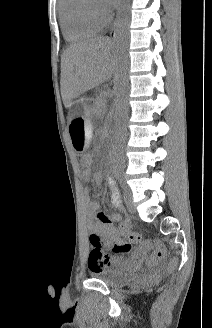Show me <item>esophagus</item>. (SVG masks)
<instances>
[{"mask_svg":"<svg viewBox=\"0 0 212 328\" xmlns=\"http://www.w3.org/2000/svg\"><path fill=\"white\" fill-rule=\"evenodd\" d=\"M122 7H123V0H119L118 1V6H117L116 19L113 23V27H112V30L110 32V38L113 42L117 39L118 32H119V29H120Z\"/></svg>","mask_w":212,"mask_h":328,"instance_id":"1","label":"esophagus"}]
</instances>
